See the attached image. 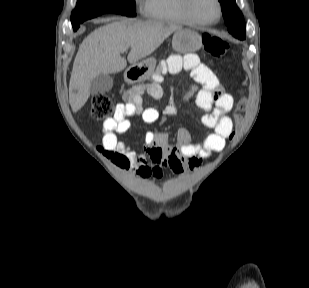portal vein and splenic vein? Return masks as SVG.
Instances as JSON below:
<instances>
[{"label":"portal vein and splenic vein","mask_w":309,"mask_h":288,"mask_svg":"<svg viewBox=\"0 0 309 288\" xmlns=\"http://www.w3.org/2000/svg\"><path fill=\"white\" fill-rule=\"evenodd\" d=\"M127 49H128L127 47L123 48V49H122V52L126 51Z\"/></svg>","instance_id":"portal-vein-and-splenic-vein-1"}]
</instances>
